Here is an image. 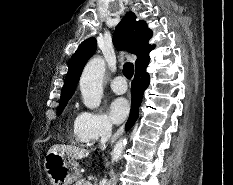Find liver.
<instances>
[{"instance_id":"6515ba94","label":"liver","mask_w":233,"mask_h":185,"mask_svg":"<svg viewBox=\"0 0 233 185\" xmlns=\"http://www.w3.org/2000/svg\"><path fill=\"white\" fill-rule=\"evenodd\" d=\"M54 152L59 153L61 155L67 156L72 160H79L82 158L88 157L90 151L85 148H79L72 145H65V144H55L53 145L48 153Z\"/></svg>"}]
</instances>
